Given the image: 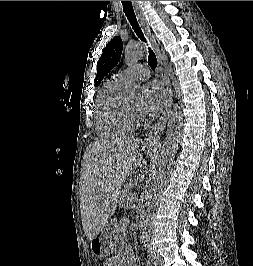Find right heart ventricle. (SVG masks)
Returning <instances> with one entry per match:
<instances>
[{"instance_id": "right-heart-ventricle-1", "label": "right heart ventricle", "mask_w": 253, "mask_h": 266, "mask_svg": "<svg viewBox=\"0 0 253 266\" xmlns=\"http://www.w3.org/2000/svg\"><path fill=\"white\" fill-rule=\"evenodd\" d=\"M123 87L124 83L113 78L103 85L98 95L95 121L101 137H120L135 126L124 111Z\"/></svg>"}]
</instances>
